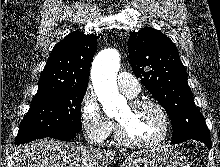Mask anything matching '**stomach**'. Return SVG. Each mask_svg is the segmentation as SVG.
Here are the masks:
<instances>
[{"label":"stomach","instance_id":"1","mask_svg":"<svg viewBox=\"0 0 220 167\" xmlns=\"http://www.w3.org/2000/svg\"><path fill=\"white\" fill-rule=\"evenodd\" d=\"M121 167H191L185 155L168 147L142 149L132 153Z\"/></svg>","mask_w":220,"mask_h":167}]
</instances>
